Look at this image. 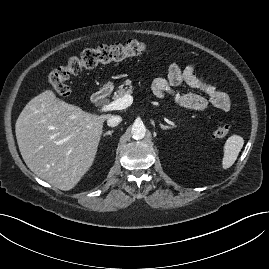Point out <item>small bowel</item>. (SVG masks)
Segmentation results:
<instances>
[{"label":"small bowel","mask_w":269,"mask_h":269,"mask_svg":"<svg viewBox=\"0 0 269 269\" xmlns=\"http://www.w3.org/2000/svg\"><path fill=\"white\" fill-rule=\"evenodd\" d=\"M187 84L198 93H180L174 87ZM152 90L157 97L170 94L175 102L183 108L204 111L209 105L228 111L231 100L228 95L212 83L199 78L193 65L180 67L173 63L168 68L167 77H158L152 82Z\"/></svg>","instance_id":"obj_1"}]
</instances>
